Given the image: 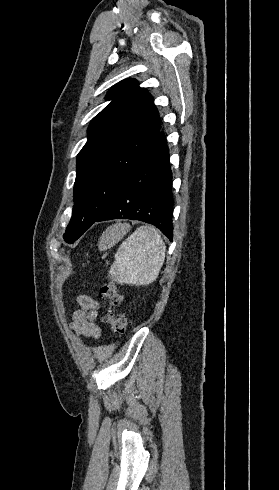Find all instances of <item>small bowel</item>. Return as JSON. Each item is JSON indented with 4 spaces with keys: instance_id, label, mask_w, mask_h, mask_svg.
<instances>
[{
    "instance_id": "small-bowel-1",
    "label": "small bowel",
    "mask_w": 279,
    "mask_h": 490,
    "mask_svg": "<svg viewBox=\"0 0 279 490\" xmlns=\"http://www.w3.org/2000/svg\"><path fill=\"white\" fill-rule=\"evenodd\" d=\"M77 303L79 309L72 313V329L78 336L99 339L101 328L96 323L99 303L95 298L84 294L78 295Z\"/></svg>"
}]
</instances>
